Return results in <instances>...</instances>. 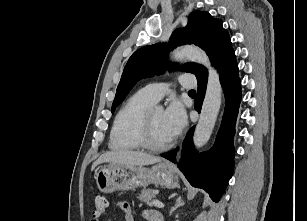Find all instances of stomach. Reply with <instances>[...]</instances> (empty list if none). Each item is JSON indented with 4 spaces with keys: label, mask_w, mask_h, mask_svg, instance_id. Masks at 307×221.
Returning a JSON list of instances; mask_svg holds the SVG:
<instances>
[{
    "label": "stomach",
    "mask_w": 307,
    "mask_h": 221,
    "mask_svg": "<svg viewBox=\"0 0 307 221\" xmlns=\"http://www.w3.org/2000/svg\"><path fill=\"white\" fill-rule=\"evenodd\" d=\"M95 179L98 189L105 193L131 190L150 183L169 188H176L179 185L176 171L167 161L159 162L151 168L109 163L96 172Z\"/></svg>",
    "instance_id": "stomach-1"
}]
</instances>
